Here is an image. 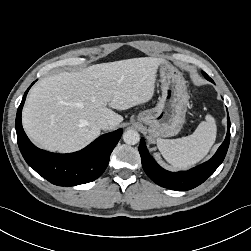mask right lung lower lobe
Segmentation results:
<instances>
[{
	"mask_svg": "<svg viewBox=\"0 0 251 251\" xmlns=\"http://www.w3.org/2000/svg\"><path fill=\"white\" fill-rule=\"evenodd\" d=\"M30 87L25 92L16 115L17 142L27 164L58 186H75L97 179L105 171L122 130L104 134L75 153L56 154L41 150L28 139L21 123V112Z\"/></svg>",
	"mask_w": 251,
	"mask_h": 251,
	"instance_id": "obj_1",
	"label": "right lung lower lobe"
}]
</instances>
